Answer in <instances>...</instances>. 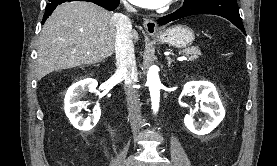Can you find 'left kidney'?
Returning <instances> with one entry per match:
<instances>
[{
	"mask_svg": "<svg viewBox=\"0 0 277 166\" xmlns=\"http://www.w3.org/2000/svg\"><path fill=\"white\" fill-rule=\"evenodd\" d=\"M183 93L194 94L205 103L201 106V111L207 116L201 124L194 122L193 115L187 114L184 118V124L187 129L196 135H205L210 133L223 120L225 110L219 98L214 85L207 81H191L184 85Z\"/></svg>",
	"mask_w": 277,
	"mask_h": 166,
	"instance_id": "left-kidney-1",
	"label": "left kidney"
}]
</instances>
